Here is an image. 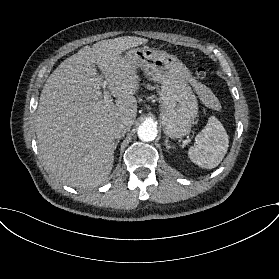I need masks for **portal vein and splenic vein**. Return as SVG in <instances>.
Wrapping results in <instances>:
<instances>
[{
  "mask_svg": "<svg viewBox=\"0 0 279 279\" xmlns=\"http://www.w3.org/2000/svg\"><path fill=\"white\" fill-rule=\"evenodd\" d=\"M102 90H103L104 100H109V98H110L109 97V91L105 88V86H103Z\"/></svg>",
  "mask_w": 279,
  "mask_h": 279,
  "instance_id": "portal-vein-and-splenic-vein-1",
  "label": "portal vein and splenic vein"
}]
</instances>
